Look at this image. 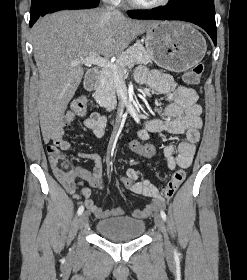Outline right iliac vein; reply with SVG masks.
<instances>
[{
  "label": "right iliac vein",
  "mask_w": 247,
  "mask_h": 280,
  "mask_svg": "<svg viewBox=\"0 0 247 280\" xmlns=\"http://www.w3.org/2000/svg\"><path fill=\"white\" fill-rule=\"evenodd\" d=\"M88 220H89V217H88V213L87 212H84L81 216H80V219H79V227L80 228H84L88 225Z\"/></svg>",
  "instance_id": "right-iliac-vein-1"
}]
</instances>
